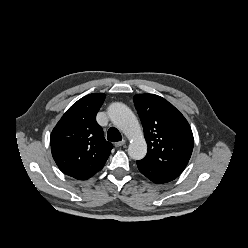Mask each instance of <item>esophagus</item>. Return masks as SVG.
<instances>
[{"label": "esophagus", "instance_id": "34e87169", "mask_svg": "<svg viewBox=\"0 0 248 248\" xmlns=\"http://www.w3.org/2000/svg\"><path fill=\"white\" fill-rule=\"evenodd\" d=\"M125 144V140H122V141H118V142H115L114 145L115 147H121Z\"/></svg>", "mask_w": 248, "mask_h": 248}]
</instances>
